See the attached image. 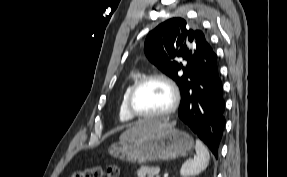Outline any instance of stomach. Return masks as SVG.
Returning a JSON list of instances; mask_svg holds the SVG:
<instances>
[{
    "label": "stomach",
    "instance_id": "stomach-1",
    "mask_svg": "<svg viewBox=\"0 0 287 177\" xmlns=\"http://www.w3.org/2000/svg\"><path fill=\"white\" fill-rule=\"evenodd\" d=\"M193 148L194 140L188 133L168 126L154 132L120 138L108 151L114 158L141 164L185 157Z\"/></svg>",
    "mask_w": 287,
    "mask_h": 177
}]
</instances>
